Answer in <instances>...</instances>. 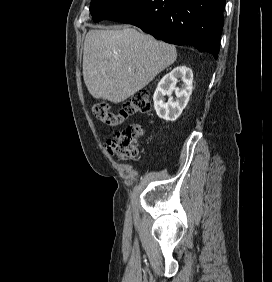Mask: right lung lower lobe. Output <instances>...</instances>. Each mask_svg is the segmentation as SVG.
<instances>
[{"label":"right lung lower lobe","instance_id":"98d812e1","mask_svg":"<svg viewBox=\"0 0 272 282\" xmlns=\"http://www.w3.org/2000/svg\"><path fill=\"white\" fill-rule=\"evenodd\" d=\"M226 0H137L109 20L135 25L157 39L192 45L218 58Z\"/></svg>","mask_w":272,"mask_h":282}]
</instances>
